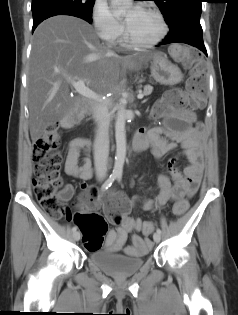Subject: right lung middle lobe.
Masks as SVG:
<instances>
[{
	"label": "right lung middle lobe",
	"instance_id": "dd1d6c3e",
	"mask_svg": "<svg viewBox=\"0 0 238 315\" xmlns=\"http://www.w3.org/2000/svg\"><path fill=\"white\" fill-rule=\"evenodd\" d=\"M95 0H32V11L45 6H62L92 16Z\"/></svg>",
	"mask_w": 238,
	"mask_h": 315
}]
</instances>
